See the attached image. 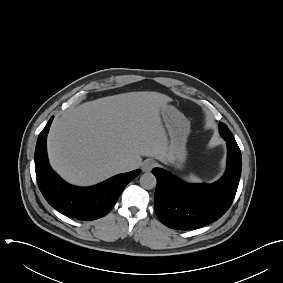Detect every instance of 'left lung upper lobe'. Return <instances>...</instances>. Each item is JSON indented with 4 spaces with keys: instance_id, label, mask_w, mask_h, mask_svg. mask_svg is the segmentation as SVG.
Listing matches in <instances>:
<instances>
[{
    "instance_id": "5c2ea615",
    "label": "left lung upper lobe",
    "mask_w": 283,
    "mask_h": 283,
    "mask_svg": "<svg viewBox=\"0 0 283 283\" xmlns=\"http://www.w3.org/2000/svg\"><path fill=\"white\" fill-rule=\"evenodd\" d=\"M219 131L222 137L234 138L228 127L222 122H219Z\"/></svg>"
}]
</instances>
